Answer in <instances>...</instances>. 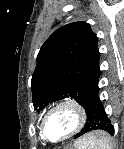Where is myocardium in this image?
Instances as JSON below:
<instances>
[{
  "label": "myocardium",
  "instance_id": "1",
  "mask_svg": "<svg viewBox=\"0 0 124 149\" xmlns=\"http://www.w3.org/2000/svg\"><path fill=\"white\" fill-rule=\"evenodd\" d=\"M63 109H67L72 112L75 119V124L73 128L70 130V132H68L63 138L58 140H52L47 136L46 122L51 115ZM86 121H87V112L84 106L74 99H65L56 103L45 113L41 121V135L43 139L49 143L53 144L63 143L73 138L75 135H77L84 128Z\"/></svg>",
  "mask_w": 124,
  "mask_h": 149
}]
</instances>
